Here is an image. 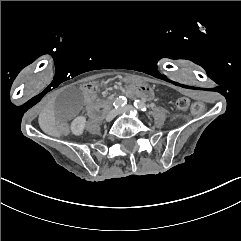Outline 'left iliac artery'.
<instances>
[{"label":"left iliac artery","instance_id":"44dca946","mask_svg":"<svg viewBox=\"0 0 241 241\" xmlns=\"http://www.w3.org/2000/svg\"><path fill=\"white\" fill-rule=\"evenodd\" d=\"M134 106H135L137 109H139V110H141V111H143V112H145V111L147 110L146 105H145L142 101H140V100H135V101H134Z\"/></svg>","mask_w":241,"mask_h":241}]
</instances>
